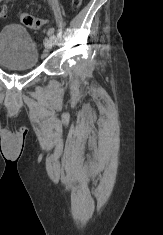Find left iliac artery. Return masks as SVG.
I'll use <instances>...</instances> for the list:
<instances>
[{
	"mask_svg": "<svg viewBox=\"0 0 163 235\" xmlns=\"http://www.w3.org/2000/svg\"><path fill=\"white\" fill-rule=\"evenodd\" d=\"M48 35L50 36L51 39L55 41L54 28H50L48 30Z\"/></svg>",
	"mask_w": 163,
	"mask_h": 235,
	"instance_id": "obj_1",
	"label": "left iliac artery"
}]
</instances>
